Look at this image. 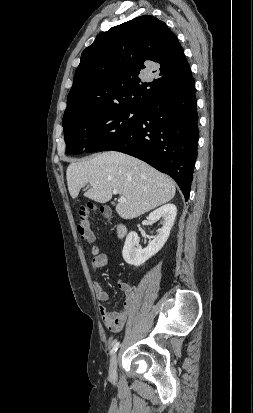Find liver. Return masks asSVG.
<instances>
[{
	"label": "liver",
	"mask_w": 253,
	"mask_h": 413,
	"mask_svg": "<svg viewBox=\"0 0 253 413\" xmlns=\"http://www.w3.org/2000/svg\"><path fill=\"white\" fill-rule=\"evenodd\" d=\"M66 177L73 199L87 184L91 188L84 196L99 203L108 202L117 189L120 198L126 200H119L116 205V212L123 219L136 218L169 202L176 192L171 178L133 156L116 151L72 162Z\"/></svg>",
	"instance_id": "liver-1"
}]
</instances>
